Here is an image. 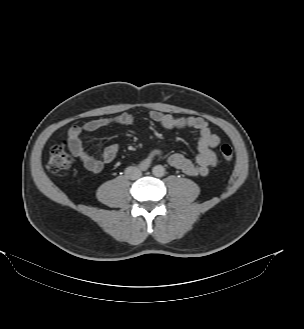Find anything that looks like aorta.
Returning a JSON list of instances; mask_svg holds the SVG:
<instances>
[{"mask_svg": "<svg viewBox=\"0 0 304 329\" xmlns=\"http://www.w3.org/2000/svg\"><path fill=\"white\" fill-rule=\"evenodd\" d=\"M152 172L156 177H162L165 174V168L162 165H156Z\"/></svg>", "mask_w": 304, "mask_h": 329, "instance_id": "obj_1", "label": "aorta"}]
</instances>
